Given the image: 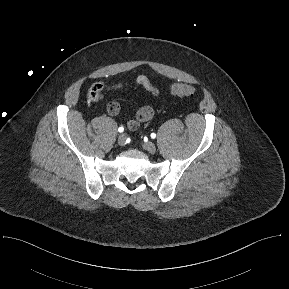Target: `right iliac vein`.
Wrapping results in <instances>:
<instances>
[{
    "label": "right iliac vein",
    "instance_id": "right-iliac-vein-1",
    "mask_svg": "<svg viewBox=\"0 0 289 289\" xmlns=\"http://www.w3.org/2000/svg\"><path fill=\"white\" fill-rule=\"evenodd\" d=\"M117 143H118L120 146L125 145V143H126V135H125V134H120V135L118 136Z\"/></svg>",
    "mask_w": 289,
    "mask_h": 289
}]
</instances>
